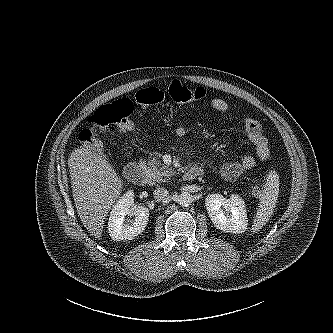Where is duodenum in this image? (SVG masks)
<instances>
[{"label":"duodenum","instance_id":"410a0bca","mask_svg":"<svg viewBox=\"0 0 333 333\" xmlns=\"http://www.w3.org/2000/svg\"><path fill=\"white\" fill-rule=\"evenodd\" d=\"M202 174V169L200 167H191L185 171L183 179L186 181H191ZM125 178L136 185H141L145 183L146 176L143 167L137 162H130L124 168Z\"/></svg>","mask_w":333,"mask_h":333}]
</instances>
